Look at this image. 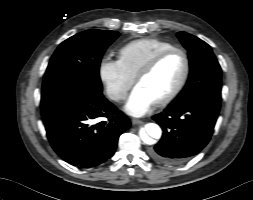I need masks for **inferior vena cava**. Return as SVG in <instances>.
Segmentation results:
<instances>
[{
  "label": "inferior vena cava",
  "mask_w": 253,
  "mask_h": 200,
  "mask_svg": "<svg viewBox=\"0 0 253 200\" xmlns=\"http://www.w3.org/2000/svg\"><path fill=\"white\" fill-rule=\"evenodd\" d=\"M116 99H125V95L124 94H118L115 96Z\"/></svg>",
  "instance_id": "inferior-vena-cava-1"
}]
</instances>
